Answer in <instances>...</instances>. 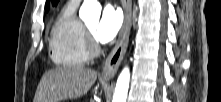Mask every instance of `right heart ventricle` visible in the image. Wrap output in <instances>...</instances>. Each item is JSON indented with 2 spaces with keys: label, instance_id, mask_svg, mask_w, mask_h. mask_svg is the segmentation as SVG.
<instances>
[{
  "label": "right heart ventricle",
  "instance_id": "right-heart-ventricle-1",
  "mask_svg": "<svg viewBox=\"0 0 221 102\" xmlns=\"http://www.w3.org/2000/svg\"><path fill=\"white\" fill-rule=\"evenodd\" d=\"M77 4L67 2L51 26L50 57L59 66L79 67L89 59L85 26L76 15Z\"/></svg>",
  "mask_w": 221,
  "mask_h": 102
}]
</instances>
